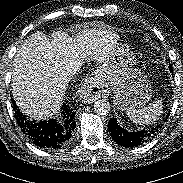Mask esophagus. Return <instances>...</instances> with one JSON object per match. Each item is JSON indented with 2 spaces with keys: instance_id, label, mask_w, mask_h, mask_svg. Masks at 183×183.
<instances>
[{
  "instance_id": "34e87169",
  "label": "esophagus",
  "mask_w": 183,
  "mask_h": 183,
  "mask_svg": "<svg viewBox=\"0 0 183 183\" xmlns=\"http://www.w3.org/2000/svg\"><path fill=\"white\" fill-rule=\"evenodd\" d=\"M109 94L107 84L102 80L99 72L92 73L83 83L81 88V98L86 103L105 97Z\"/></svg>"
}]
</instances>
